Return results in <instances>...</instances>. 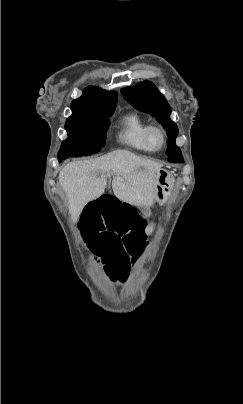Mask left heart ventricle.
<instances>
[{"label": "left heart ventricle", "instance_id": "b2bd125f", "mask_svg": "<svg viewBox=\"0 0 243 404\" xmlns=\"http://www.w3.org/2000/svg\"><path fill=\"white\" fill-rule=\"evenodd\" d=\"M154 140L157 141V137H156V136H154Z\"/></svg>", "mask_w": 243, "mask_h": 404}]
</instances>
